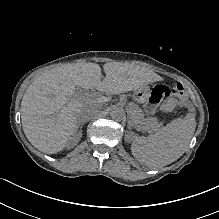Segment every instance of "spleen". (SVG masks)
I'll list each match as a JSON object with an SVG mask.
<instances>
[{
	"label": "spleen",
	"mask_w": 219,
	"mask_h": 219,
	"mask_svg": "<svg viewBox=\"0 0 219 219\" xmlns=\"http://www.w3.org/2000/svg\"><path fill=\"white\" fill-rule=\"evenodd\" d=\"M195 115L177 118L148 137H137L131 144L133 156L147 167H163L179 159L194 135Z\"/></svg>",
	"instance_id": "1"
}]
</instances>
